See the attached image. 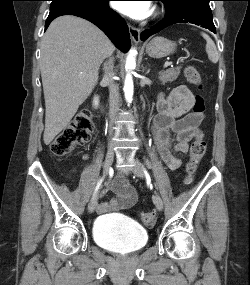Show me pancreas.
I'll return each instance as SVG.
<instances>
[{"instance_id":"cf45deb5","label":"pancreas","mask_w":250,"mask_h":285,"mask_svg":"<svg viewBox=\"0 0 250 285\" xmlns=\"http://www.w3.org/2000/svg\"><path fill=\"white\" fill-rule=\"evenodd\" d=\"M181 67L170 68L159 73V80L162 84L175 81L180 75Z\"/></svg>"}]
</instances>
